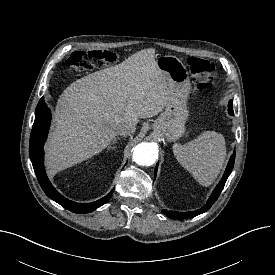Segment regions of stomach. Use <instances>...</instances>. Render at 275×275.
<instances>
[{
	"instance_id": "1",
	"label": "stomach",
	"mask_w": 275,
	"mask_h": 275,
	"mask_svg": "<svg viewBox=\"0 0 275 275\" xmlns=\"http://www.w3.org/2000/svg\"><path fill=\"white\" fill-rule=\"evenodd\" d=\"M156 62L167 78L170 96L153 129L168 141H175L185 132V123L189 115L187 98L191 90L190 78L185 65L175 56H160Z\"/></svg>"
}]
</instances>
